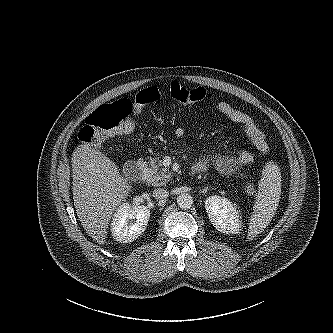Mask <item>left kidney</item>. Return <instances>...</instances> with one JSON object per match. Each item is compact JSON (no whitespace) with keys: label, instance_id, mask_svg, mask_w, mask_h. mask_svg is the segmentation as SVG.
<instances>
[{"label":"left kidney","instance_id":"5707ae66","mask_svg":"<svg viewBox=\"0 0 333 333\" xmlns=\"http://www.w3.org/2000/svg\"><path fill=\"white\" fill-rule=\"evenodd\" d=\"M205 209L213 226L226 234H237L241 220L237 206L221 196H210L205 200Z\"/></svg>","mask_w":333,"mask_h":333}]
</instances>
